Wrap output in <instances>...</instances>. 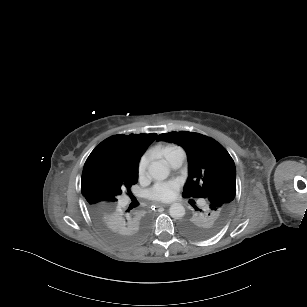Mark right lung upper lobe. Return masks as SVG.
Masks as SVG:
<instances>
[{
    "mask_svg": "<svg viewBox=\"0 0 307 307\" xmlns=\"http://www.w3.org/2000/svg\"><path fill=\"white\" fill-rule=\"evenodd\" d=\"M156 134L111 136L91 152L81 179V192L96 225L106 233L132 240L145 234L149 218L124 193L138 181V163Z\"/></svg>",
    "mask_w": 307,
    "mask_h": 307,
    "instance_id": "1",
    "label": "right lung upper lobe"
}]
</instances>
